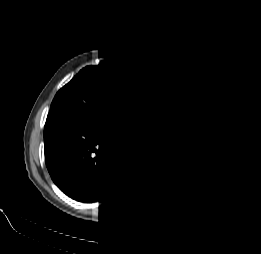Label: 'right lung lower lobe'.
I'll use <instances>...</instances> for the list:
<instances>
[{
    "label": "right lung lower lobe",
    "instance_id": "98d812e1",
    "mask_svg": "<svg viewBox=\"0 0 261 254\" xmlns=\"http://www.w3.org/2000/svg\"><path fill=\"white\" fill-rule=\"evenodd\" d=\"M112 141L109 130L94 129L74 116L49 114L44 144L46 166L53 182L77 201L102 199L114 185L121 159L96 146Z\"/></svg>",
    "mask_w": 261,
    "mask_h": 254
}]
</instances>
